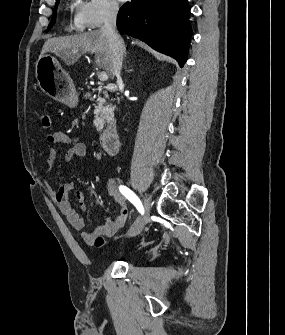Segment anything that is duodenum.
Here are the masks:
<instances>
[{
    "label": "duodenum",
    "instance_id": "obj_1",
    "mask_svg": "<svg viewBox=\"0 0 285 335\" xmlns=\"http://www.w3.org/2000/svg\"><path fill=\"white\" fill-rule=\"evenodd\" d=\"M108 91L115 92L117 87L115 85H108ZM99 141L102 149L108 155H115L119 149L120 141L117 123L115 121L109 122L101 131Z\"/></svg>",
    "mask_w": 285,
    "mask_h": 335
}]
</instances>
